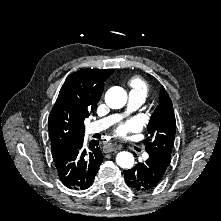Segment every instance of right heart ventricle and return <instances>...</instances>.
Wrapping results in <instances>:
<instances>
[{"instance_id":"right-heart-ventricle-1","label":"right heart ventricle","mask_w":221,"mask_h":221,"mask_svg":"<svg viewBox=\"0 0 221 221\" xmlns=\"http://www.w3.org/2000/svg\"><path fill=\"white\" fill-rule=\"evenodd\" d=\"M129 85L132 88L131 92L139 93V94L143 95L144 97L147 96L148 84L145 81V79H143L142 77L135 76V77L131 78L129 80Z\"/></svg>"}]
</instances>
